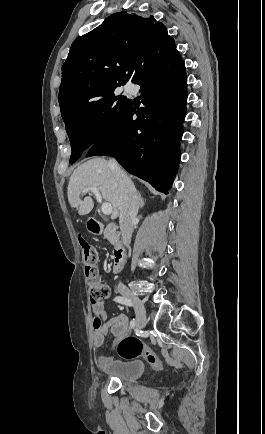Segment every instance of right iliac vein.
I'll use <instances>...</instances> for the list:
<instances>
[{
    "label": "right iliac vein",
    "instance_id": "1",
    "mask_svg": "<svg viewBox=\"0 0 265 434\" xmlns=\"http://www.w3.org/2000/svg\"><path fill=\"white\" fill-rule=\"evenodd\" d=\"M119 291L133 305L136 315V329L140 330L147 323L146 311L143 302L124 286H120Z\"/></svg>",
    "mask_w": 265,
    "mask_h": 434
}]
</instances>
